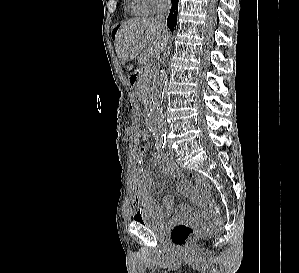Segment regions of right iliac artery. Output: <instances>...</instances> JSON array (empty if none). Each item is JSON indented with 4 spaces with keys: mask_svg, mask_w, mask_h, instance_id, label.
Segmentation results:
<instances>
[{
    "mask_svg": "<svg viewBox=\"0 0 299 273\" xmlns=\"http://www.w3.org/2000/svg\"><path fill=\"white\" fill-rule=\"evenodd\" d=\"M156 148L159 150V151H164V149H165V142H158L157 144H156Z\"/></svg>",
    "mask_w": 299,
    "mask_h": 273,
    "instance_id": "obj_1",
    "label": "right iliac artery"
}]
</instances>
